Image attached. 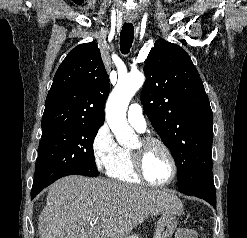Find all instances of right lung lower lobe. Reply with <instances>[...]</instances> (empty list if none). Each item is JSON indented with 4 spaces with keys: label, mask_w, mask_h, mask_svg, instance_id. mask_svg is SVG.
I'll return each instance as SVG.
<instances>
[{
    "label": "right lung lower lobe",
    "mask_w": 247,
    "mask_h": 238,
    "mask_svg": "<svg viewBox=\"0 0 247 238\" xmlns=\"http://www.w3.org/2000/svg\"><path fill=\"white\" fill-rule=\"evenodd\" d=\"M38 193H31V199L34 198Z\"/></svg>",
    "instance_id": "obj_1"
}]
</instances>
